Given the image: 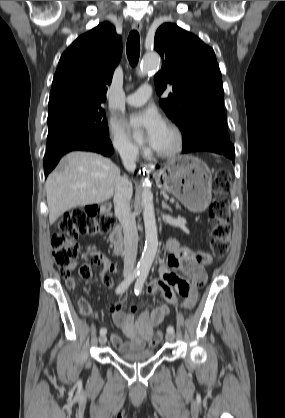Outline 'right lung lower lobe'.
<instances>
[{"instance_id":"98d812e1","label":"right lung lower lobe","mask_w":285,"mask_h":418,"mask_svg":"<svg viewBox=\"0 0 285 418\" xmlns=\"http://www.w3.org/2000/svg\"><path fill=\"white\" fill-rule=\"evenodd\" d=\"M72 150H85L110 156L113 146L109 138H95L91 136H77L64 140L47 150L44 156L45 177L54 169L60 158Z\"/></svg>"}]
</instances>
